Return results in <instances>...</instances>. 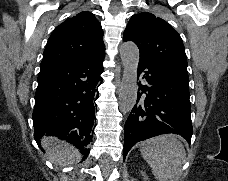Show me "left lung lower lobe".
Segmentation results:
<instances>
[{"mask_svg": "<svg viewBox=\"0 0 228 181\" xmlns=\"http://www.w3.org/2000/svg\"><path fill=\"white\" fill-rule=\"evenodd\" d=\"M137 102L126 123L123 157L139 141L174 133L183 136L190 144L193 128L187 71L150 58H140Z\"/></svg>", "mask_w": 228, "mask_h": 181, "instance_id": "1", "label": "left lung lower lobe"}]
</instances>
